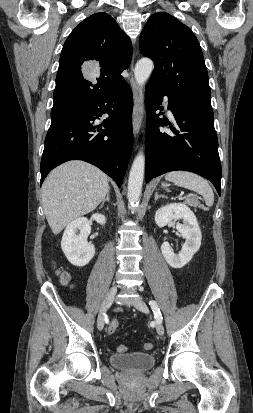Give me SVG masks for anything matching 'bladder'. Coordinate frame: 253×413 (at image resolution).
Returning <instances> with one entry per match:
<instances>
[{"instance_id": "31cf9c89", "label": "bladder", "mask_w": 253, "mask_h": 413, "mask_svg": "<svg viewBox=\"0 0 253 413\" xmlns=\"http://www.w3.org/2000/svg\"><path fill=\"white\" fill-rule=\"evenodd\" d=\"M109 361L115 368L131 372H142L152 368L155 365L156 358L152 353L132 352L112 354Z\"/></svg>"}]
</instances>
